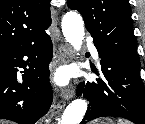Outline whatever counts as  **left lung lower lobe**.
<instances>
[{
  "label": "left lung lower lobe",
  "instance_id": "left-lung-lower-lobe-1",
  "mask_svg": "<svg viewBox=\"0 0 145 124\" xmlns=\"http://www.w3.org/2000/svg\"><path fill=\"white\" fill-rule=\"evenodd\" d=\"M98 53L104 79L78 86L77 95L83 94L90 102L81 124L105 116L145 124V90L140 78V65L99 50Z\"/></svg>",
  "mask_w": 145,
  "mask_h": 124
}]
</instances>
